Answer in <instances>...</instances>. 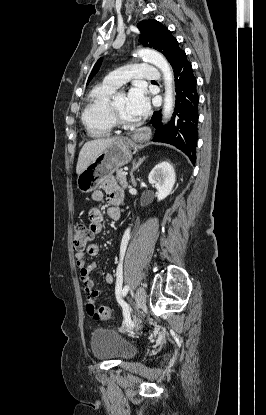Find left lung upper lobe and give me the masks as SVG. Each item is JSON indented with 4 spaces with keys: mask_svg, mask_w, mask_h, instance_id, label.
<instances>
[{
    "mask_svg": "<svg viewBox=\"0 0 266 415\" xmlns=\"http://www.w3.org/2000/svg\"><path fill=\"white\" fill-rule=\"evenodd\" d=\"M137 28L141 32L139 41L144 46L154 48L163 53L171 66L174 67L179 56L184 53V51L179 48V44L172 36L171 32L160 22L153 19L141 21L137 25ZM101 63L102 58L94 65L87 84L99 70Z\"/></svg>",
    "mask_w": 266,
    "mask_h": 415,
    "instance_id": "5c2ea615",
    "label": "left lung upper lobe"
}]
</instances>
